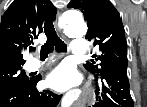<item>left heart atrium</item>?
I'll list each match as a JSON object with an SVG mask.
<instances>
[{"mask_svg": "<svg viewBox=\"0 0 147 107\" xmlns=\"http://www.w3.org/2000/svg\"><path fill=\"white\" fill-rule=\"evenodd\" d=\"M80 82V75L69 64H61L55 68L47 78V85L52 89L63 92L76 86Z\"/></svg>", "mask_w": 147, "mask_h": 107, "instance_id": "39dd6f15", "label": "left heart atrium"}]
</instances>
